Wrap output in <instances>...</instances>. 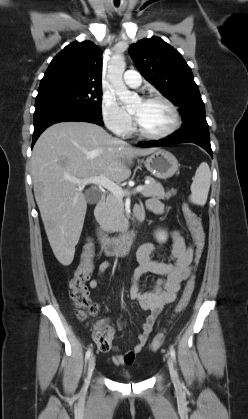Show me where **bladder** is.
<instances>
[{
  "instance_id": "bladder-1",
  "label": "bladder",
  "mask_w": 248,
  "mask_h": 419,
  "mask_svg": "<svg viewBox=\"0 0 248 419\" xmlns=\"http://www.w3.org/2000/svg\"><path fill=\"white\" fill-rule=\"evenodd\" d=\"M120 376L123 377V378H126V379H130L131 378V375L129 373H127V372H122L120 374Z\"/></svg>"
}]
</instances>
